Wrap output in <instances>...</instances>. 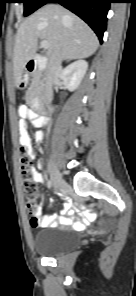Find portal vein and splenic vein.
Returning a JSON list of instances; mask_svg holds the SVG:
<instances>
[{
	"label": "portal vein and splenic vein",
	"instance_id": "1",
	"mask_svg": "<svg viewBox=\"0 0 136 296\" xmlns=\"http://www.w3.org/2000/svg\"><path fill=\"white\" fill-rule=\"evenodd\" d=\"M49 46H50V44L46 40H43V41L40 42V47L43 48V49H48Z\"/></svg>",
	"mask_w": 136,
	"mask_h": 296
}]
</instances>
